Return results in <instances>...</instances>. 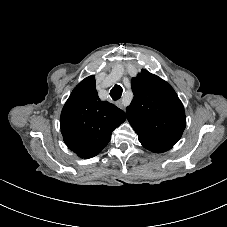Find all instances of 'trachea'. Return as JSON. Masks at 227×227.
Returning <instances> with one entry per match:
<instances>
[{
  "label": "trachea",
  "instance_id": "1",
  "mask_svg": "<svg viewBox=\"0 0 227 227\" xmlns=\"http://www.w3.org/2000/svg\"><path fill=\"white\" fill-rule=\"evenodd\" d=\"M122 92V87L120 85H115L110 91V96L113 100H118L121 98Z\"/></svg>",
  "mask_w": 227,
  "mask_h": 227
}]
</instances>
